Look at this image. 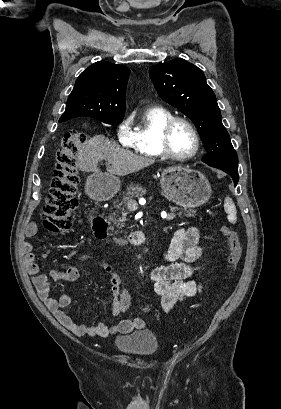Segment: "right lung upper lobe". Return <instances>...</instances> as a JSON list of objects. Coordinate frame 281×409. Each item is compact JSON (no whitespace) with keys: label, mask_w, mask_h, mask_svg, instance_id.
Here are the masks:
<instances>
[{"label":"right lung upper lobe","mask_w":281,"mask_h":409,"mask_svg":"<svg viewBox=\"0 0 281 409\" xmlns=\"http://www.w3.org/2000/svg\"><path fill=\"white\" fill-rule=\"evenodd\" d=\"M129 73L126 66L106 61L89 66L77 78L59 122L79 116L123 118Z\"/></svg>","instance_id":"1"}]
</instances>
